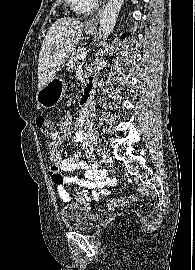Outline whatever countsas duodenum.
<instances>
[{
  "instance_id": "duodenum-1",
  "label": "duodenum",
  "mask_w": 195,
  "mask_h": 270,
  "mask_svg": "<svg viewBox=\"0 0 195 270\" xmlns=\"http://www.w3.org/2000/svg\"><path fill=\"white\" fill-rule=\"evenodd\" d=\"M94 88V81L92 77L88 78L87 84L81 94L80 103L82 106L87 107L90 104Z\"/></svg>"
}]
</instances>
